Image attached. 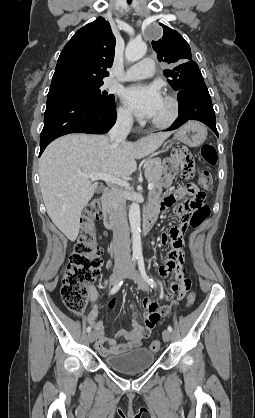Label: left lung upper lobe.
<instances>
[{
  "instance_id": "left-lung-upper-lobe-1",
  "label": "left lung upper lobe",
  "mask_w": 255,
  "mask_h": 418,
  "mask_svg": "<svg viewBox=\"0 0 255 418\" xmlns=\"http://www.w3.org/2000/svg\"><path fill=\"white\" fill-rule=\"evenodd\" d=\"M163 27V37L152 41V47L157 52L160 62L171 65L170 69L163 70L172 87L180 91L203 77L199 67L192 60L191 49L185 39L175 30L160 24Z\"/></svg>"
}]
</instances>
